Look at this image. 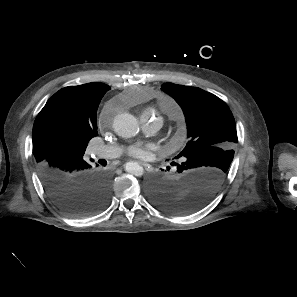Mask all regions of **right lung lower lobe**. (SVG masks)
Masks as SVG:
<instances>
[{
	"mask_svg": "<svg viewBox=\"0 0 297 297\" xmlns=\"http://www.w3.org/2000/svg\"><path fill=\"white\" fill-rule=\"evenodd\" d=\"M37 170L50 199L69 215H91L108 202L107 172L86 162L83 155L52 156L38 165Z\"/></svg>",
	"mask_w": 297,
	"mask_h": 297,
	"instance_id": "right-lung-lower-lobe-1",
	"label": "right lung lower lobe"
}]
</instances>
